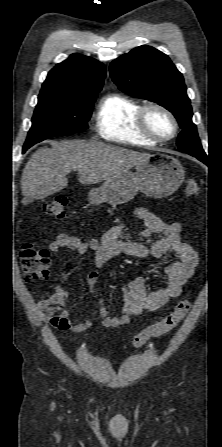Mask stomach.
Returning a JSON list of instances; mask_svg holds the SVG:
<instances>
[{
    "label": "stomach",
    "mask_w": 222,
    "mask_h": 447,
    "mask_svg": "<svg viewBox=\"0 0 222 447\" xmlns=\"http://www.w3.org/2000/svg\"><path fill=\"white\" fill-rule=\"evenodd\" d=\"M184 168L172 156L155 153L135 166V173L125 171L92 189L88 199L92 204L108 202L112 205L127 203L138 191L153 198L174 193L184 180Z\"/></svg>",
    "instance_id": "1"
}]
</instances>
